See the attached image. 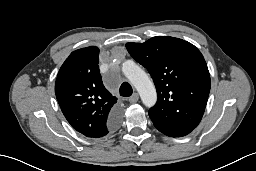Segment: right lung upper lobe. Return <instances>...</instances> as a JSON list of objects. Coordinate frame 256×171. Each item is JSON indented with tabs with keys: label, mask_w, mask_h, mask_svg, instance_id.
I'll use <instances>...</instances> for the list:
<instances>
[{
	"label": "right lung upper lobe",
	"mask_w": 256,
	"mask_h": 171,
	"mask_svg": "<svg viewBox=\"0 0 256 171\" xmlns=\"http://www.w3.org/2000/svg\"><path fill=\"white\" fill-rule=\"evenodd\" d=\"M95 46L72 52L61 66L55 94L70 125L86 137L100 138L110 130L107 123L116 110L117 98L103 85Z\"/></svg>",
	"instance_id": "cb5924a9"
}]
</instances>
